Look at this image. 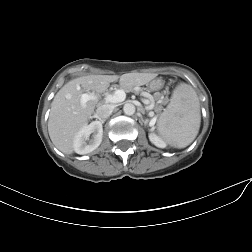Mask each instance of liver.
<instances>
[{
  "instance_id": "liver-1",
  "label": "liver",
  "mask_w": 252,
  "mask_h": 252,
  "mask_svg": "<svg viewBox=\"0 0 252 252\" xmlns=\"http://www.w3.org/2000/svg\"><path fill=\"white\" fill-rule=\"evenodd\" d=\"M149 73H126L118 75H88L67 82L55 95L48 119L51 141L61 152L72 154L77 132L92 118L97 100L81 105V96L90 91L104 92L111 82L119 79L120 87L130 89L147 84L154 78Z\"/></svg>"
}]
</instances>
